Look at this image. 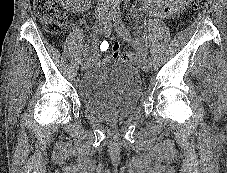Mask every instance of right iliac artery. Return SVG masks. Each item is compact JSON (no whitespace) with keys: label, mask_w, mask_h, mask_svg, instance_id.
<instances>
[{"label":"right iliac artery","mask_w":227,"mask_h":173,"mask_svg":"<svg viewBox=\"0 0 227 173\" xmlns=\"http://www.w3.org/2000/svg\"><path fill=\"white\" fill-rule=\"evenodd\" d=\"M103 31L105 35L109 36L111 33V17L108 18L105 23L103 24ZM84 61V59H82Z\"/></svg>","instance_id":"right-iliac-artery-1"}]
</instances>
